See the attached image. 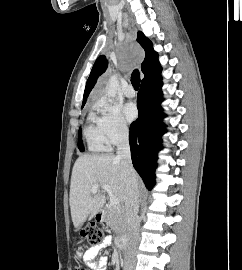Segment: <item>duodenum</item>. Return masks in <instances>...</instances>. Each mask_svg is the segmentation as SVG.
<instances>
[{
    "label": "duodenum",
    "mask_w": 242,
    "mask_h": 270,
    "mask_svg": "<svg viewBox=\"0 0 242 270\" xmlns=\"http://www.w3.org/2000/svg\"><path fill=\"white\" fill-rule=\"evenodd\" d=\"M104 214H105L104 211L98 212L97 219L100 220L104 216ZM126 245H127V238H126V236L121 235L118 238L117 246H118L119 249H125Z\"/></svg>",
    "instance_id": "1"
}]
</instances>
